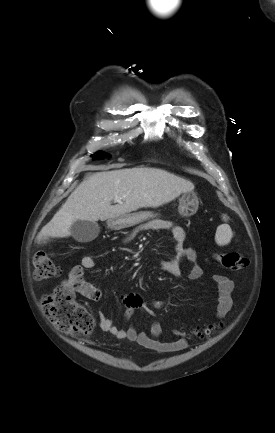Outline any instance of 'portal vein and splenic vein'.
I'll list each match as a JSON object with an SVG mask.
<instances>
[{"mask_svg":"<svg viewBox=\"0 0 275 433\" xmlns=\"http://www.w3.org/2000/svg\"><path fill=\"white\" fill-rule=\"evenodd\" d=\"M114 201L117 202V203H121V198L120 197H115Z\"/></svg>","mask_w":275,"mask_h":433,"instance_id":"1","label":"portal vein and splenic vein"}]
</instances>
